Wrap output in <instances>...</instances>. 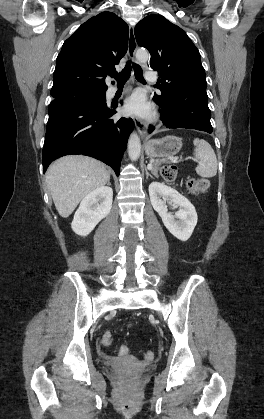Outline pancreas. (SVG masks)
Wrapping results in <instances>:
<instances>
[{"label": "pancreas", "mask_w": 264, "mask_h": 419, "mask_svg": "<svg viewBox=\"0 0 264 419\" xmlns=\"http://www.w3.org/2000/svg\"><path fill=\"white\" fill-rule=\"evenodd\" d=\"M164 162V160H157V161H155L154 162V164H153V168H152V173L154 174V175H156V176H158L157 175V173H158V171L160 170V165L162 164Z\"/></svg>", "instance_id": "cf45deb5"}]
</instances>
